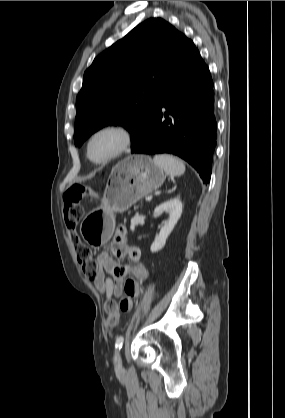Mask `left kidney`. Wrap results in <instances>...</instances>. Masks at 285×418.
<instances>
[{
    "label": "left kidney",
    "instance_id": "obj_1",
    "mask_svg": "<svg viewBox=\"0 0 285 418\" xmlns=\"http://www.w3.org/2000/svg\"><path fill=\"white\" fill-rule=\"evenodd\" d=\"M163 212H166L169 217L164 223V226L161 228L159 235L155 238L152 243L150 250L151 252H157L161 250L165 244L168 236L172 232L174 226L178 222L182 214V202L179 198L170 199L158 207L155 208L154 214L156 216L161 215Z\"/></svg>",
    "mask_w": 285,
    "mask_h": 418
}]
</instances>
